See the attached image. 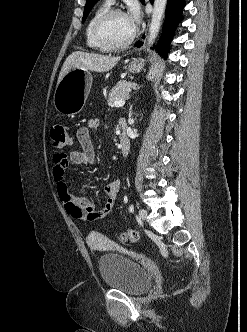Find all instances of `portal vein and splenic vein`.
I'll list each match as a JSON object with an SVG mask.
<instances>
[{
  "mask_svg": "<svg viewBox=\"0 0 247 332\" xmlns=\"http://www.w3.org/2000/svg\"><path fill=\"white\" fill-rule=\"evenodd\" d=\"M125 104L124 100H116L110 106L111 107H122Z\"/></svg>",
  "mask_w": 247,
  "mask_h": 332,
  "instance_id": "1",
  "label": "portal vein and splenic vein"
}]
</instances>
